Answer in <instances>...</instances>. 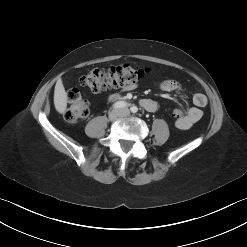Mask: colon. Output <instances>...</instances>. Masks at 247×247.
Segmentation results:
<instances>
[{
  "label": "colon",
  "instance_id": "obj_1",
  "mask_svg": "<svg viewBox=\"0 0 247 247\" xmlns=\"http://www.w3.org/2000/svg\"><path fill=\"white\" fill-rule=\"evenodd\" d=\"M145 75L143 69L127 64L113 66L108 69L92 68L80 78V85L92 92H101L108 89L125 88L136 84ZM68 106L64 113L65 120L70 124L84 120L89 114L88 102L77 88L67 91ZM173 117L179 119L184 111L180 108L173 110Z\"/></svg>",
  "mask_w": 247,
  "mask_h": 247
}]
</instances>
